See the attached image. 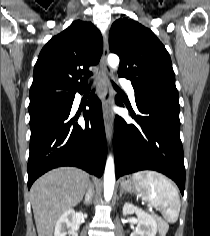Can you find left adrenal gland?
<instances>
[{
  "instance_id": "1",
  "label": "left adrenal gland",
  "mask_w": 210,
  "mask_h": 236,
  "mask_svg": "<svg viewBox=\"0 0 210 236\" xmlns=\"http://www.w3.org/2000/svg\"><path fill=\"white\" fill-rule=\"evenodd\" d=\"M122 195H123V190L120 189V197H122Z\"/></svg>"
}]
</instances>
